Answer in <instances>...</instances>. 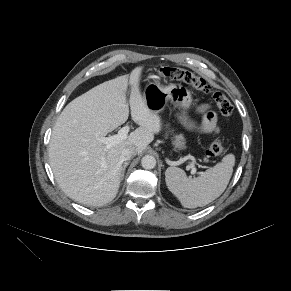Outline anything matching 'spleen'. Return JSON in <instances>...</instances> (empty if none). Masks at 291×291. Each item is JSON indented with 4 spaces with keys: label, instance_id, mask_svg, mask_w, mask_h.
Returning a JSON list of instances; mask_svg holds the SVG:
<instances>
[{
    "label": "spleen",
    "instance_id": "3e777b00",
    "mask_svg": "<svg viewBox=\"0 0 291 291\" xmlns=\"http://www.w3.org/2000/svg\"><path fill=\"white\" fill-rule=\"evenodd\" d=\"M235 156L226 155L221 162L195 178H188L177 167L165 172L168 189L178 198L183 207H202L217 199L226 189L232 176Z\"/></svg>",
    "mask_w": 291,
    "mask_h": 291
}]
</instances>
